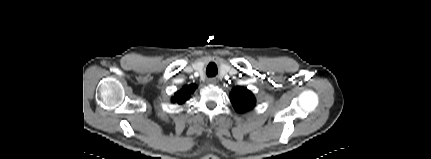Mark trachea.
Here are the masks:
<instances>
[{
    "label": "trachea",
    "mask_w": 431,
    "mask_h": 159,
    "mask_svg": "<svg viewBox=\"0 0 431 159\" xmlns=\"http://www.w3.org/2000/svg\"><path fill=\"white\" fill-rule=\"evenodd\" d=\"M218 70L214 63H210L207 66L206 73L209 77H214L217 74Z\"/></svg>",
    "instance_id": "trachea-1"
}]
</instances>
